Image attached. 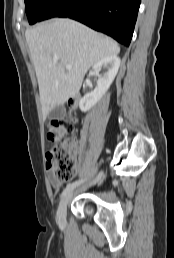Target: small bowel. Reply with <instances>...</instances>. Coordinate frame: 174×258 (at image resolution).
<instances>
[{
    "label": "small bowel",
    "instance_id": "c3829d8e",
    "mask_svg": "<svg viewBox=\"0 0 174 258\" xmlns=\"http://www.w3.org/2000/svg\"><path fill=\"white\" fill-rule=\"evenodd\" d=\"M50 169H52V168L50 167ZM50 182H51L52 186L55 188H59L61 186V182L54 177H51Z\"/></svg>",
    "mask_w": 174,
    "mask_h": 258
}]
</instances>
